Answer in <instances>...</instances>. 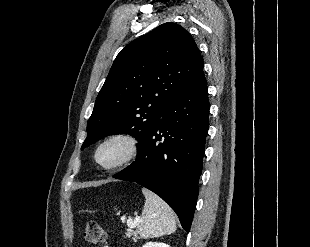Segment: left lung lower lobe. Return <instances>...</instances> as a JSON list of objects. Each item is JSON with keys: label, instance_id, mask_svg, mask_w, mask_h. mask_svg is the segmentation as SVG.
<instances>
[{"label": "left lung lower lobe", "instance_id": "0a47b994", "mask_svg": "<svg viewBox=\"0 0 310 247\" xmlns=\"http://www.w3.org/2000/svg\"><path fill=\"white\" fill-rule=\"evenodd\" d=\"M209 101L203 70L165 108L137 159L113 178L136 182L160 196L189 232L198 197Z\"/></svg>", "mask_w": 310, "mask_h": 247}]
</instances>
